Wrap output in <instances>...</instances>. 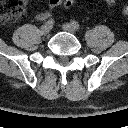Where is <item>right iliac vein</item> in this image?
<instances>
[{
  "mask_svg": "<svg viewBox=\"0 0 128 128\" xmlns=\"http://www.w3.org/2000/svg\"><path fill=\"white\" fill-rule=\"evenodd\" d=\"M50 31H51V28L46 25L41 27V32L45 36L49 35Z\"/></svg>",
  "mask_w": 128,
  "mask_h": 128,
  "instance_id": "1",
  "label": "right iliac vein"
}]
</instances>
